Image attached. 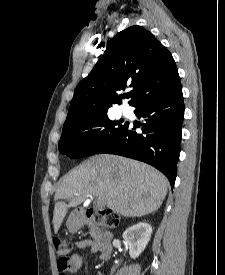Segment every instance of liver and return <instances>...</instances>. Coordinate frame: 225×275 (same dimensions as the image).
Masks as SVG:
<instances>
[{
  "mask_svg": "<svg viewBox=\"0 0 225 275\" xmlns=\"http://www.w3.org/2000/svg\"><path fill=\"white\" fill-rule=\"evenodd\" d=\"M168 186L167 178L148 164L110 154L92 156L59 181L54 231L58 232L70 207L89 197L124 217L150 214L162 205Z\"/></svg>",
  "mask_w": 225,
  "mask_h": 275,
  "instance_id": "obj_1",
  "label": "liver"
}]
</instances>
